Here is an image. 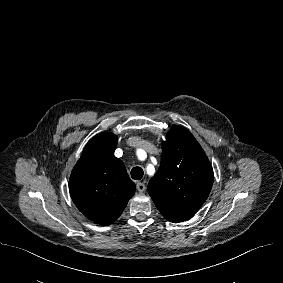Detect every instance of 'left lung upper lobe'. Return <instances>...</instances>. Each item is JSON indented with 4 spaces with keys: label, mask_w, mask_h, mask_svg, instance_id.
I'll return each instance as SVG.
<instances>
[{
    "label": "left lung upper lobe",
    "mask_w": 283,
    "mask_h": 283,
    "mask_svg": "<svg viewBox=\"0 0 283 283\" xmlns=\"http://www.w3.org/2000/svg\"><path fill=\"white\" fill-rule=\"evenodd\" d=\"M213 169L201 146L182 126H174L162 143L161 164L148 192L162 215L173 223L190 219L206 201Z\"/></svg>",
    "instance_id": "left-lung-upper-lobe-1"
}]
</instances>
